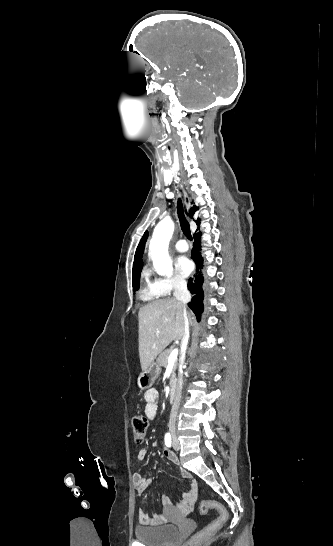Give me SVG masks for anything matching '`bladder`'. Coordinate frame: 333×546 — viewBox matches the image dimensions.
I'll use <instances>...</instances> for the list:
<instances>
[{
    "mask_svg": "<svg viewBox=\"0 0 333 546\" xmlns=\"http://www.w3.org/2000/svg\"><path fill=\"white\" fill-rule=\"evenodd\" d=\"M135 537L147 546H172L179 538L180 531L176 525L137 527Z\"/></svg>",
    "mask_w": 333,
    "mask_h": 546,
    "instance_id": "bladder-1",
    "label": "bladder"
}]
</instances>
